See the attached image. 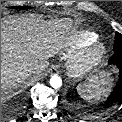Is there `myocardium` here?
<instances>
[{
	"label": "myocardium",
	"instance_id": "1",
	"mask_svg": "<svg viewBox=\"0 0 122 122\" xmlns=\"http://www.w3.org/2000/svg\"><path fill=\"white\" fill-rule=\"evenodd\" d=\"M106 52L105 44L100 42L86 47L71 59L69 64L70 72L75 76H82L88 73L102 61Z\"/></svg>",
	"mask_w": 122,
	"mask_h": 122
}]
</instances>
